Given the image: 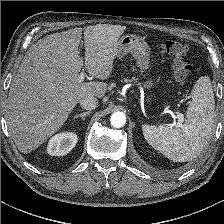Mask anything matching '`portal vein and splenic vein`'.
Returning a JSON list of instances; mask_svg holds the SVG:
<instances>
[{"label": "portal vein and splenic vein", "instance_id": "1", "mask_svg": "<svg viewBox=\"0 0 224 224\" xmlns=\"http://www.w3.org/2000/svg\"><path fill=\"white\" fill-rule=\"evenodd\" d=\"M84 78H85V73L81 72L78 75V81L81 83V82H83ZM177 116H178L179 121H183V115L181 113H177Z\"/></svg>", "mask_w": 224, "mask_h": 224}]
</instances>
